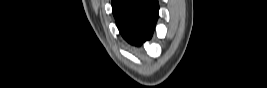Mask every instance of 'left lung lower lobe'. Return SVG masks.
<instances>
[{"instance_id": "1", "label": "left lung lower lobe", "mask_w": 267, "mask_h": 88, "mask_svg": "<svg viewBox=\"0 0 267 88\" xmlns=\"http://www.w3.org/2000/svg\"><path fill=\"white\" fill-rule=\"evenodd\" d=\"M113 14L122 36L139 45L150 39L158 17L156 0H113Z\"/></svg>"}]
</instances>
